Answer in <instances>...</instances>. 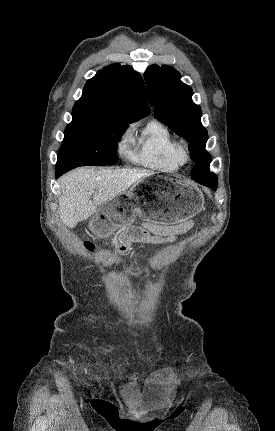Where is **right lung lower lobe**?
Wrapping results in <instances>:
<instances>
[{
  "instance_id": "98d812e1",
  "label": "right lung lower lobe",
  "mask_w": 275,
  "mask_h": 431,
  "mask_svg": "<svg viewBox=\"0 0 275 431\" xmlns=\"http://www.w3.org/2000/svg\"><path fill=\"white\" fill-rule=\"evenodd\" d=\"M65 172H67V171L63 170V169H56V171H55L56 178H58L59 176H61Z\"/></svg>"
}]
</instances>
